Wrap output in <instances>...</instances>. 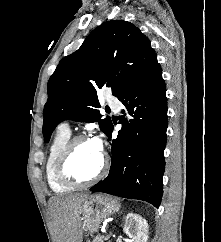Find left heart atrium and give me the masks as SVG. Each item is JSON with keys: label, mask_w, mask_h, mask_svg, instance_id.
Returning <instances> with one entry per match:
<instances>
[{"label": "left heart atrium", "mask_w": 221, "mask_h": 242, "mask_svg": "<svg viewBox=\"0 0 221 242\" xmlns=\"http://www.w3.org/2000/svg\"><path fill=\"white\" fill-rule=\"evenodd\" d=\"M90 141L92 142V144L99 150L102 152V149H103V142H102V139L99 135H96L94 137H92L90 139Z\"/></svg>", "instance_id": "1"}]
</instances>
